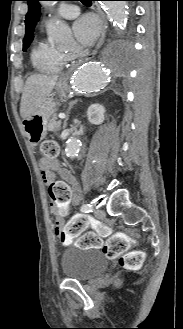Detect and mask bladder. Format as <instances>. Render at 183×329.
Returning <instances> with one entry per match:
<instances>
[{
  "label": "bladder",
  "mask_w": 183,
  "mask_h": 329,
  "mask_svg": "<svg viewBox=\"0 0 183 329\" xmlns=\"http://www.w3.org/2000/svg\"><path fill=\"white\" fill-rule=\"evenodd\" d=\"M60 261L63 275L77 281L91 280L108 266V260L97 248L67 247L62 250Z\"/></svg>",
  "instance_id": "31cf9c89"
}]
</instances>
